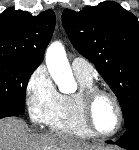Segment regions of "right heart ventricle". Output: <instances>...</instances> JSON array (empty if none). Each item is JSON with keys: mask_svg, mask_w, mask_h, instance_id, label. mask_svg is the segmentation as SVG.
<instances>
[{"mask_svg": "<svg viewBox=\"0 0 139 150\" xmlns=\"http://www.w3.org/2000/svg\"><path fill=\"white\" fill-rule=\"evenodd\" d=\"M80 89L72 94H59L51 106L45 120L50 130L83 137L91 138L94 135L85 126L80 111V94L86 89L93 87V80L76 76Z\"/></svg>", "mask_w": 139, "mask_h": 150, "instance_id": "e07e8e85", "label": "right heart ventricle"}]
</instances>
